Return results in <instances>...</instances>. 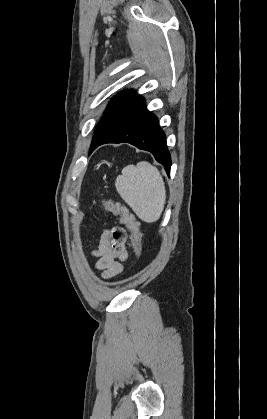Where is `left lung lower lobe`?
I'll use <instances>...</instances> for the list:
<instances>
[{"instance_id": "0a47b994", "label": "left lung lower lobe", "mask_w": 267, "mask_h": 419, "mask_svg": "<svg viewBox=\"0 0 267 419\" xmlns=\"http://www.w3.org/2000/svg\"><path fill=\"white\" fill-rule=\"evenodd\" d=\"M125 142L151 152L169 175L171 157L166 146V136L155 115L147 110L141 96H137L124 110L115 113L113 125L91 145L90 152L102 144Z\"/></svg>"}]
</instances>
